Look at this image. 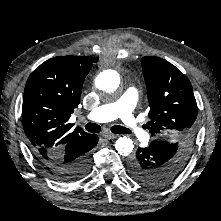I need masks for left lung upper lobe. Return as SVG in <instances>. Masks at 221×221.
<instances>
[{"label": "left lung upper lobe", "mask_w": 221, "mask_h": 221, "mask_svg": "<svg viewBox=\"0 0 221 221\" xmlns=\"http://www.w3.org/2000/svg\"><path fill=\"white\" fill-rule=\"evenodd\" d=\"M141 63L150 106L147 127L152 136L168 137L158 141L167 152L160 166L163 176L154 178L166 184L189 160L198 108L190 81L174 65L153 56L143 57Z\"/></svg>", "instance_id": "left-lung-upper-lobe-1"}]
</instances>
